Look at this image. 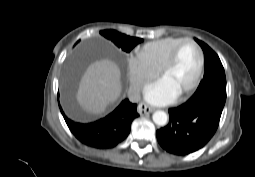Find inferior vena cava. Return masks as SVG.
Here are the masks:
<instances>
[{
  "label": "inferior vena cava",
  "instance_id": "inferior-vena-cava-1",
  "mask_svg": "<svg viewBox=\"0 0 255 177\" xmlns=\"http://www.w3.org/2000/svg\"><path fill=\"white\" fill-rule=\"evenodd\" d=\"M140 91H141L140 85L130 87L128 91V98L130 99V101L138 102L140 100Z\"/></svg>",
  "mask_w": 255,
  "mask_h": 177
}]
</instances>
